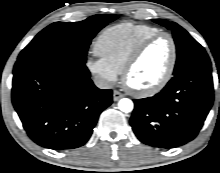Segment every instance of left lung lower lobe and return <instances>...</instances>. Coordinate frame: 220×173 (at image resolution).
Segmentation results:
<instances>
[{
    "label": "left lung lower lobe",
    "mask_w": 220,
    "mask_h": 173,
    "mask_svg": "<svg viewBox=\"0 0 220 173\" xmlns=\"http://www.w3.org/2000/svg\"><path fill=\"white\" fill-rule=\"evenodd\" d=\"M211 66L173 76L163 90L149 98L134 99L130 124L143 143L175 148L193 140L213 104Z\"/></svg>",
    "instance_id": "obj_1"
}]
</instances>
